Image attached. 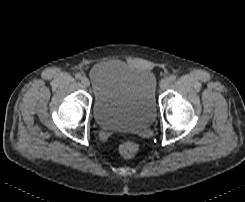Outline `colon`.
Wrapping results in <instances>:
<instances>
[{"label":"colon","mask_w":245,"mask_h":202,"mask_svg":"<svg viewBox=\"0 0 245 202\" xmlns=\"http://www.w3.org/2000/svg\"><path fill=\"white\" fill-rule=\"evenodd\" d=\"M139 151L138 145L132 141H123L119 146L120 154L125 158H133Z\"/></svg>","instance_id":"obj_1"}]
</instances>
